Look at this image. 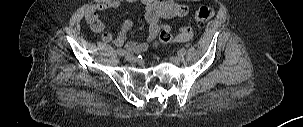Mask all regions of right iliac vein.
I'll list each match as a JSON object with an SVG mask.
<instances>
[{
	"label": "right iliac vein",
	"instance_id": "1",
	"mask_svg": "<svg viewBox=\"0 0 303 127\" xmlns=\"http://www.w3.org/2000/svg\"><path fill=\"white\" fill-rule=\"evenodd\" d=\"M125 58H126V60L127 61H129V62H136L137 61V58L135 57V56H133V55H130V54H126L125 55Z\"/></svg>",
	"mask_w": 303,
	"mask_h": 127
}]
</instances>
